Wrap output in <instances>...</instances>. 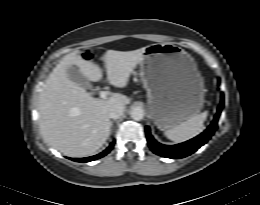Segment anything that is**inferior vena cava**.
I'll return each instance as SVG.
<instances>
[{
    "mask_svg": "<svg viewBox=\"0 0 260 205\" xmlns=\"http://www.w3.org/2000/svg\"><path fill=\"white\" fill-rule=\"evenodd\" d=\"M124 106L122 105H115L108 110V117L111 119H118L120 116L123 115Z\"/></svg>",
    "mask_w": 260,
    "mask_h": 205,
    "instance_id": "inferior-vena-cava-1",
    "label": "inferior vena cava"
}]
</instances>
